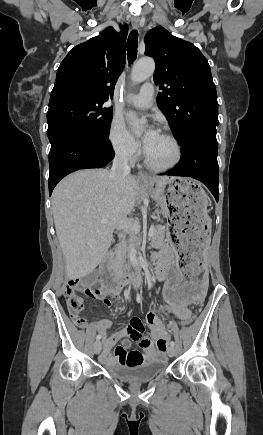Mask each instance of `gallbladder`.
I'll use <instances>...</instances> for the list:
<instances>
[{
    "instance_id": "obj_1",
    "label": "gallbladder",
    "mask_w": 263,
    "mask_h": 435,
    "mask_svg": "<svg viewBox=\"0 0 263 435\" xmlns=\"http://www.w3.org/2000/svg\"><path fill=\"white\" fill-rule=\"evenodd\" d=\"M98 278V272L97 271H93L90 274H88L87 276H85L83 278V281L85 282V284L90 285L92 283H94Z\"/></svg>"
}]
</instances>
